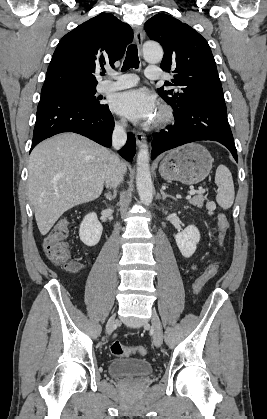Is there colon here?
Segmentation results:
<instances>
[{
	"label": "colon",
	"mask_w": 267,
	"mask_h": 419,
	"mask_svg": "<svg viewBox=\"0 0 267 419\" xmlns=\"http://www.w3.org/2000/svg\"><path fill=\"white\" fill-rule=\"evenodd\" d=\"M220 243L229 227L228 220L224 214L217 217ZM70 221L67 218L59 220L46 235L43 248L47 257L56 265L68 271L78 269L74 261L66 237L69 233ZM218 266L215 262L211 263L202 275L193 284V291L198 294L204 285L216 274ZM110 352L114 356L145 355L147 348L145 346L125 347L120 341L115 340L110 344Z\"/></svg>",
	"instance_id": "1"
}]
</instances>
